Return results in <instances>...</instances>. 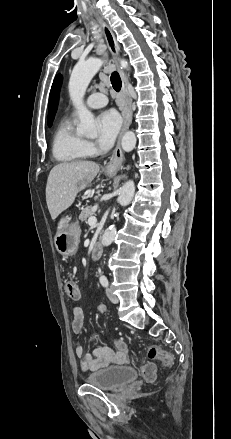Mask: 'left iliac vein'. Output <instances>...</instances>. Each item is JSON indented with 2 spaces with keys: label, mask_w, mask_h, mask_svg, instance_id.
Masks as SVG:
<instances>
[{
  "label": "left iliac vein",
  "mask_w": 231,
  "mask_h": 439,
  "mask_svg": "<svg viewBox=\"0 0 231 439\" xmlns=\"http://www.w3.org/2000/svg\"><path fill=\"white\" fill-rule=\"evenodd\" d=\"M106 293H107V296H108L109 300L112 303L117 304L119 302L118 297L113 293L111 288H107L106 289Z\"/></svg>",
  "instance_id": "obj_1"
}]
</instances>
